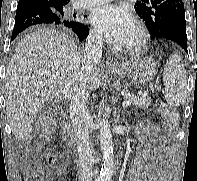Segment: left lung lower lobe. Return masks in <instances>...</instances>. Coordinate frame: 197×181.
<instances>
[{"label":"left lung lower lobe","mask_w":197,"mask_h":181,"mask_svg":"<svg viewBox=\"0 0 197 181\" xmlns=\"http://www.w3.org/2000/svg\"><path fill=\"white\" fill-rule=\"evenodd\" d=\"M160 38L170 39L176 42L188 53L186 22H178L167 26L161 31Z\"/></svg>","instance_id":"left-lung-lower-lobe-1"}]
</instances>
